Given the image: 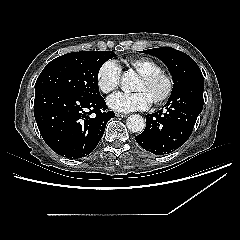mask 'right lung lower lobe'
<instances>
[{"instance_id": "98d812e1", "label": "right lung lower lobe", "mask_w": 240, "mask_h": 240, "mask_svg": "<svg viewBox=\"0 0 240 240\" xmlns=\"http://www.w3.org/2000/svg\"><path fill=\"white\" fill-rule=\"evenodd\" d=\"M106 108L101 95L35 90L34 116L42 138L54 152L70 159L85 157L95 149L107 122L115 116Z\"/></svg>"}]
</instances>
